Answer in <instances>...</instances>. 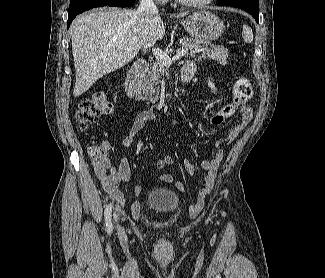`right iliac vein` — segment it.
<instances>
[{"mask_svg":"<svg viewBox=\"0 0 325 278\" xmlns=\"http://www.w3.org/2000/svg\"><path fill=\"white\" fill-rule=\"evenodd\" d=\"M113 218H114V221H115V223H116V225H117V227H118V219H119L118 214L115 213V214L113 215Z\"/></svg>","mask_w":325,"mask_h":278,"instance_id":"63e3f726","label":"right iliac vein"}]
</instances>
